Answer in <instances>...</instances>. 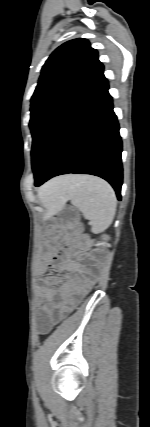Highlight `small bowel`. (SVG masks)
<instances>
[{"mask_svg":"<svg viewBox=\"0 0 150 427\" xmlns=\"http://www.w3.org/2000/svg\"><path fill=\"white\" fill-rule=\"evenodd\" d=\"M54 265L58 268H64L67 267V262L57 254L41 261L38 265V272L41 274L38 301L41 304H45L39 315V329L42 333L48 332L57 320L70 312L77 303L78 296L86 290L85 286L74 287L68 284L61 292L63 301L57 305L54 304V298L57 295L54 286L57 283V279L53 276L45 275L48 269Z\"/></svg>","mask_w":150,"mask_h":427,"instance_id":"c3829d8e","label":"small bowel"}]
</instances>
